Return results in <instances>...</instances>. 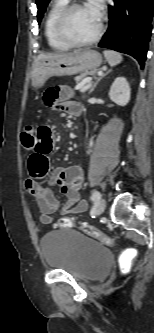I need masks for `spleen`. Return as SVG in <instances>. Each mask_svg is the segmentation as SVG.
I'll list each match as a JSON object with an SVG mask.
<instances>
[{
  "label": "spleen",
  "mask_w": 154,
  "mask_h": 333,
  "mask_svg": "<svg viewBox=\"0 0 154 333\" xmlns=\"http://www.w3.org/2000/svg\"><path fill=\"white\" fill-rule=\"evenodd\" d=\"M104 56L111 67L120 64L123 61V57L120 53L112 50H104Z\"/></svg>",
  "instance_id": "3e777b00"
}]
</instances>
